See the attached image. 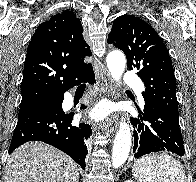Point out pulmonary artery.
Returning <instances> with one entry per match:
<instances>
[{"instance_id":"obj_1","label":"pulmonary artery","mask_w":196,"mask_h":182,"mask_svg":"<svg viewBox=\"0 0 196 182\" xmlns=\"http://www.w3.org/2000/svg\"><path fill=\"white\" fill-rule=\"evenodd\" d=\"M123 83L128 86L136 87V92L142 100V88L139 87V78L134 73L126 72L123 77Z\"/></svg>"}]
</instances>
